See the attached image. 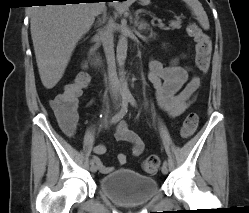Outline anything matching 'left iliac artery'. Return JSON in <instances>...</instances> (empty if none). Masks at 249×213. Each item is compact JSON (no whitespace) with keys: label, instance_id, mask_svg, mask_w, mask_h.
Instances as JSON below:
<instances>
[{"label":"left iliac artery","instance_id":"44dca946","mask_svg":"<svg viewBox=\"0 0 249 213\" xmlns=\"http://www.w3.org/2000/svg\"><path fill=\"white\" fill-rule=\"evenodd\" d=\"M129 102L131 103L132 106L136 107L137 104H136V101H135V99H134L133 97H130V98H129ZM163 164H164V165H167L168 163H167V161L165 160Z\"/></svg>","mask_w":249,"mask_h":213}]
</instances>
